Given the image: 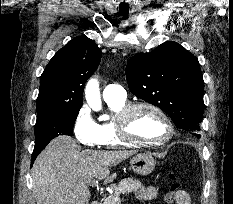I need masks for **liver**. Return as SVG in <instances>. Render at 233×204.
Returning a JSON list of instances; mask_svg holds the SVG:
<instances>
[{"mask_svg": "<svg viewBox=\"0 0 233 204\" xmlns=\"http://www.w3.org/2000/svg\"><path fill=\"white\" fill-rule=\"evenodd\" d=\"M134 151L80 150L75 139L61 135L36 158L32 168L33 193L37 204H88V184L93 178L113 181V166Z\"/></svg>", "mask_w": 233, "mask_h": 204, "instance_id": "6515ba94", "label": "liver"}]
</instances>
